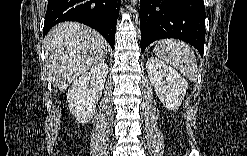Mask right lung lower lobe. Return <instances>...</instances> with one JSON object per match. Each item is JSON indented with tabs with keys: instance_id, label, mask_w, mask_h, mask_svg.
<instances>
[{
	"instance_id": "right-lung-lower-lobe-1",
	"label": "right lung lower lobe",
	"mask_w": 247,
	"mask_h": 156,
	"mask_svg": "<svg viewBox=\"0 0 247 156\" xmlns=\"http://www.w3.org/2000/svg\"><path fill=\"white\" fill-rule=\"evenodd\" d=\"M120 3V0H48L44 35L60 22L77 21L97 30L113 49Z\"/></svg>"
}]
</instances>
